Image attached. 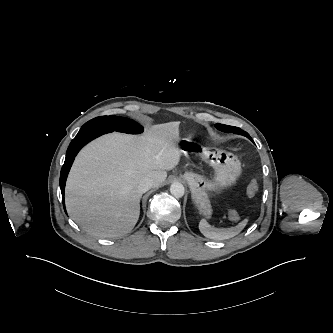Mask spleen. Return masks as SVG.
<instances>
[{
  "instance_id": "3e777b00",
  "label": "spleen",
  "mask_w": 333,
  "mask_h": 333,
  "mask_svg": "<svg viewBox=\"0 0 333 333\" xmlns=\"http://www.w3.org/2000/svg\"><path fill=\"white\" fill-rule=\"evenodd\" d=\"M247 222L248 220L245 219L235 227L218 229L211 227L206 220H201L199 223V230L205 237L214 240H225L238 235L244 229Z\"/></svg>"
}]
</instances>
